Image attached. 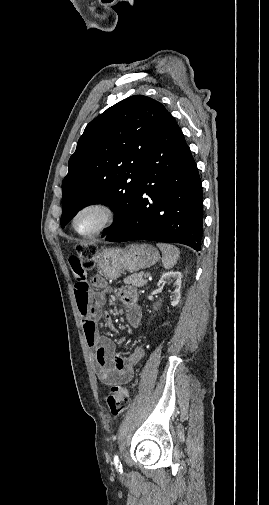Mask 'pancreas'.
I'll return each instance as SVG.
<instances>
[{
	"mask_svg": "<svg viewBox=\"0 0 269 505\" xmlns=\"http://www.w3.org/2000/svg\"><path fill=\"white\" fill-rule=\"evenodd\" d=\"M143 273H135L124 279L125 284H131L135 287H143L146 285L147 280L143 278Z\"/></svg>",
	"mask_w": 269,
	"mask_h": 505,
	"instance_id": "pancreas-1",
	"label": "pancreas"
}]
</instances>
